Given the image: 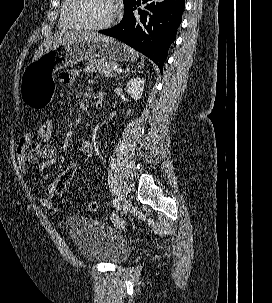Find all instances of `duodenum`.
I'll use <instances>...</instances> for the list:
<instances>
[{"instance_id": "410a0bca", "label": "duodenum", "mask_w": 272, "mask_h": 303, "mask_svg": "<svg viewBox=\"0 0 272 303\" xmlns=\"http://www.w3.org/2000/svg\"><path fill=\"white\" fill-rule=\"evenodd\" d=\"M104 103V94L103 92H97L95 95H94V100H93V104L96 108H100L102 107Z\"/></svg>"}]
</instances>
